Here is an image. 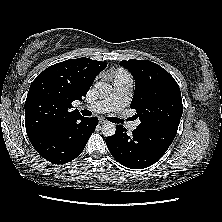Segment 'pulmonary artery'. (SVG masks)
I'll return each instance as SVG.
<instances>
[{
  "instance_id": "1",
  "label": "pulmonary artery",
  "mask_w": 222,
  "mask_h": 222,
  "mask_svg": "<svg viewBox=\"0 0 222 222\" xmlns=\"http://www.w3.org/2000/svg\"><path fill=\"white\" fill-rule=\"evenodd\" d=\"M132 87V78L125 72H119L113 82V91L105 99L98 100L85 105V108L97 113L122 110L127 101L129 91ZM138 122H130L128 128L135 130Z\"/></svg>"
}]
</instances>
